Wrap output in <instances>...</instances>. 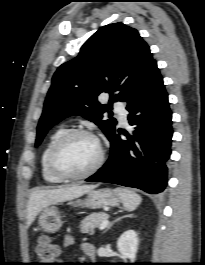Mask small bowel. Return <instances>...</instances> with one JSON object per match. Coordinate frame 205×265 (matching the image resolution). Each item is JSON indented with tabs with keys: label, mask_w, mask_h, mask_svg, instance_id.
Segmentation results:
<instances>
[{
	"label": "small bowel",
	"mask_w": 205,
	"mask_h": 265,
	"mask_svg": "<svg viewBox=\"0 0 205 265\" xmlns=\"http://www.w3.org/2000/svg\"><path fill=\"white\" fill-rule=\"evenodd\" d=\"M73 242H74L73 237L70 236V235H68V236H66V238H65V240H64V245H65V246H70V245L73 244ZM88 245H89L88 243L84 244V250H86V247H87Z\"/></svg>",
	"instance_id": "c3829d8e"
}]
</instances>
